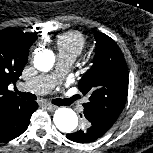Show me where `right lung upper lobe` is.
I'll return each mask as SVG.
<instances>
[{
  "label": "right lung upper lobe",
  "mask_w": 153,
  "mask_h": 153,
  "mask_svg": "<svg viewBox=\"0 0 153 153\" xmlns=\"http://www.w3.org/2000/svg\"><path fill=\"white\" fill-rule=\"evenodd\" d=\"M36 39V34L13 28L0 31V123L12 109L25 102L13 95L8 85L19 79L28 59V50Z\"/></svg>",
  "instance_id": "cb5924a9"
}]
</instances>
